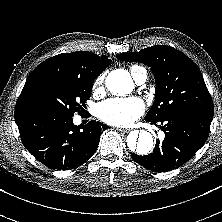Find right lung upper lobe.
I'll list each match as a JSON object with an SVG mask.
<instances>
[{
	"mask_svg": "<svg viewBox=\"0 0 222 222\" xmlns=\"http://www.w3.org/2000/svg\"><path fill=\"white\" fill-rule=\"evenodd\" d=\"M107 56L81 51L63 53L51 57L38 65L29 75L15 111L24 109L23 101L28 91L35 85L54 77H78L95 80L110 64Z\"/></svg>",
	"mask_w": 222,
	"mask_h": 222,
	"instance_id": "cb5924a9",
	"label": "right lung upper lobe"
}]
</instances>
